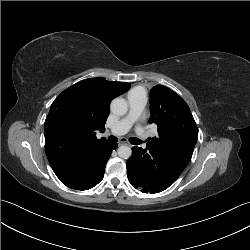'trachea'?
I'll return each mask as SVG.
<instances>
[{
	"label": "trachea",
	"instance_id": "1",
	"mask_svg": "<svg viewBox=\"0 0 250 250\" xmlns=\"http://www.w3.org/2000/svg\"><path fill=\"white\" fill-rule=\"evenodd\" d=\"M108 140H109L110 142H117V141H118V138L115 137V136H109V137H108ZM129 141H130L131 144H134V145H139V144H141V142H142L140 139H138V138H136V137L130 138Z\"/></svg>",
	"mask_w": 250,
	"mask_h": 250
}]
</instances>
